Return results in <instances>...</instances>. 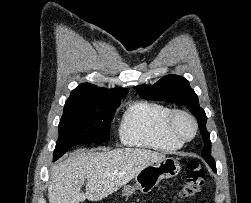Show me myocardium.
I'll return each mask as SVG.
<instances>
[{
  "label": "myocardium",
  "mask_w": 251,
  "mask_h": 203,
  "mask_svg": "<svg viewBox=\"0 0 251 203\" xmlns=\"http://www.w3.org/2000/svg\"><path fill=\"white\" fill-rule=\"evenodd\" d=\"M180 116L186 117L193 126V132L190 136L186 137L180 134V132L177 130L176 123L177 119ZM166 130L167 132L175 139L179 140L182 143L191 141L197 134L198 131V123L195 119V117L188 111L184 109H174L170 113L167 122H166Z\"/></svg>",
  "instance_id": "1"
}]
</instances>
